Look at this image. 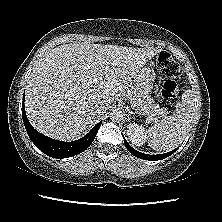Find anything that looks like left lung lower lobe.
<instances>
[{"mask_svg": "<svg viewBox=\"0 0 222 222\" xmlns=\"http://www.w3.org/2000/svg\"><path fill=\"white\" fill-rule=\"evenodd\" d=\"M124 142H125V146L126 148L129 150V152L138 157V158H141V159H144V160H151V161H156V160H161V159H164L170 155H172L176 150H172L170 152H167V153H164V154H159V155H148V154H144V153H141V152H138L137 150H135L134 148H132L128 142L126 141V139L124 138Z\"/></svg>", "mask_w": 222, "mask_h": 222, "instance_id": "obj_1", "label": "left lung lower lobe"}]
</instances>
